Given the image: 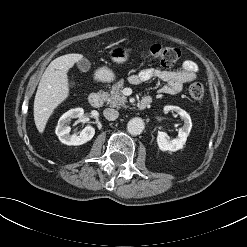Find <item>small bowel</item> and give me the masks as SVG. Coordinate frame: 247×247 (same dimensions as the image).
I'll return each mask as SVG.
<instances>
[{"instance_id": "1", "label": "small bowel", "mask_w": 247, "mask_h": 247, "mask_svg": "<svg viewBox=\"0 0 247 247\" xmlns=\"http://www.w3.org/2000/svg\"><path fill=\"white\" fill-rule=\"evenodd\" d=\"M197 75V63L192 60H186L182 63L181 67L176 70L145 68L139 73L131 75L129 81L134 85H138L152 78H157L164 82V85L160 88V92L172 95L179 93L183 85L194 81Z\"/></svg>"}]
</instances>
